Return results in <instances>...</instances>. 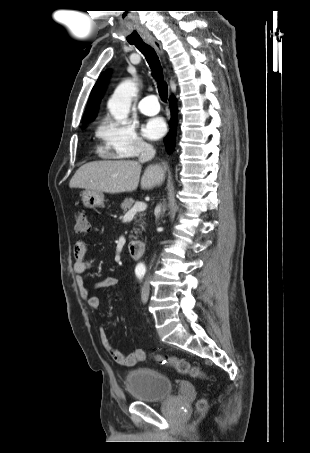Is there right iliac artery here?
Masks as SVG:
<instances>
[{"label":"right iliac artery","mask_w":310,"mask_h":453,"mask_svg":"<svg viewBox=\"0 0 310 453\" xmlns=\"http://www.w3.org/2000/svg\"><path fill=\"white\" fill-rule=\"evenodd\" d=\"M138 278H142L144 276V272H136Z\"/></svg>","instance_id":"right-iliac-artery-1"}]
</instances>
